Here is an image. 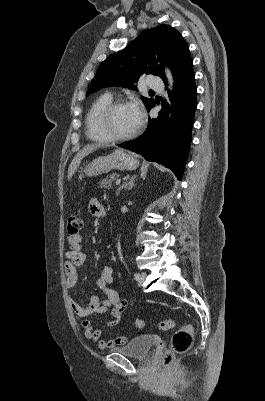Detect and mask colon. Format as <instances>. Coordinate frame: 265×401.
I'll list each match as a JSON object with an SVG mask.
<instances>
[{
	"mask_svg": "<svg viewBox=\"0 0 265 401\" xmlns=\"http://www.w3.org/2000/svg\"><path fill=\"white\" fill-rule=\"evenodd\" d=\"M82 227L81 218L76 214H71L67 221V231L70 235H76L79 233ZM135 326L139 329L143 328V320L137 319ZM175 322L172 319L164 320L159 323L161 330H169L174 328ZM193 342V327L191 325L183 326L177 329L172 335L169 348L165 351L163 356L164 365H169L174 356L187 352Z\"/></svg>",
	"mask_w": 265,
	"mask_h": 401,
	"instance_id": "1",
	"label": "colon"
}]
</instances>
